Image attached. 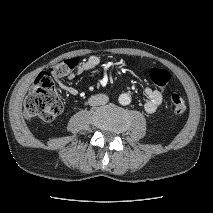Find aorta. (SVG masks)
<instances>
[{"label":"aorta","mask_w":213,"mask_h":213,"mask_svg":"<svg viewBox=\"0 0 213 213\" xmlns=\"http://www.w3.org/2000/svg\"><path fill=\"white\" fill-rule=\"evenodd\" d=\"M118 101L121 105L126 106L131 103V97L127 93L119 95Z\"/></svg>","instance_id":"762f6f07"}]
</instances>
